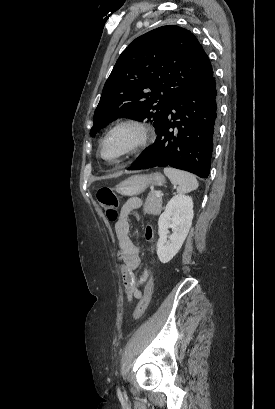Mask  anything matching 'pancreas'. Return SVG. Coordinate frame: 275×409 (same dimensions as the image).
Here are the masks:
<instances>
[{
	"instance_id": "1",
	"label": "pancreas",
	"mask_w": 275,
	"mask_h": 409,
	"mask_svg": "<svg viewBox=\"0 0 275 409\" xmlns=\"http://www.w3.org/2000/svg\"><path fill=\"white\" fill-rule=\"evenodd\" d=\"M144 211L145 213H148V215H160L162 211V198L161 196H157L156 192H153V190L148 192Z\"/></svg>"
}]
</instances>
